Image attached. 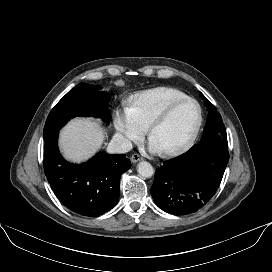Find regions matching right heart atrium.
<instances>
[{
	"label": "right heart atrium",
	"mask_w": 272,
	"mask_h": 272,
	"mask_svg": "<svg viewBox=\"0 0 272 272\" xmlns=\"http://www.w3.org/2000/svg\"><path fill=\"white\" fill-rule=\"evenodd\" d=\"M114 123L118 138L124 146H130L140 140L146 132V128L136 119L129 108L117 110Z\"/></svg>",
	"instance_id": "1"
}]
</instances>
